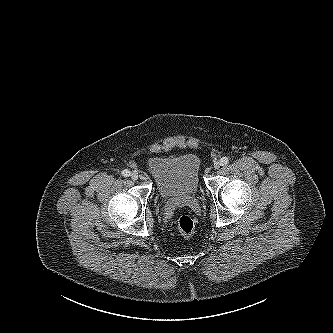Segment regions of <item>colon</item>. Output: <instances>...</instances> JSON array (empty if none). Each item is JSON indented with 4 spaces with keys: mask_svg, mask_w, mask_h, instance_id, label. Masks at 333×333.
<instances>
[{
    "mask_svg": "<svg viewBox=\"0 0 333 333\" xmlns=\"http://www.w3.org/2000/svg\"><path fill=\"white\" fill-rule=\"evenodd\" d=\"M177 229L183 236H190L195 229V223L189 215H182L178 219Z\"/></svg>",
    "mask_w": 333,
    "mask_h": 333,
    "instance_id": "5ec220e1",
    "label": "colon"
}]
</instances>
